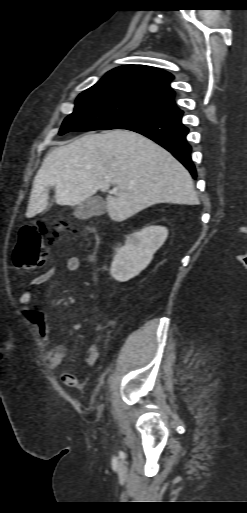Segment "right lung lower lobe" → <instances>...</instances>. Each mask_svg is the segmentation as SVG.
Wrapping results in <instances>:
<instances>
[{
  "label": "right lung lower lobe",
  "instance_id": "obj_1",
  "mask_svg": "<svg viewBox=\"0 0 247 513\" xmlns=\"http://www.w3.org/2000/svg\"><path fill=\"white\" fill-rule=\"evenodd\" d=\"M183 111L175 110L125 124L120 129L140 133L155 141L176 157L196 178L191 160V146L187 143L188 128L182 124Z\"/></svg>",
  "mask_w": 247,
  "mask_h": 513
}]
</instances>
